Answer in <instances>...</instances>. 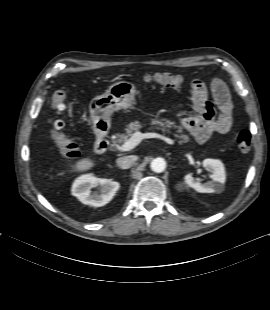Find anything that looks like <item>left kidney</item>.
Returning <instances> with one entry per match:
<instances>
[{
    "instance_id": "obj_1",
    "label": "left kidney",
    "mask_w": 270,
    "mask_h": 310,
    "mask_svg": "<svg viewBox=\"0 0 270 310\" xmlns=\"http://www.w3.org/2000/svg\"><path fill=\"white\" fill-rule=\"evenodd\" d=\"M203 167L209 170L212 174L211 181L200 183L196 180L191 173L184 177V182L188 187L193 188L199 193H220L223 191L224 183L226 180L225 168L223 163L217 159H204Z\"/></svg>"
}]
</instances>
